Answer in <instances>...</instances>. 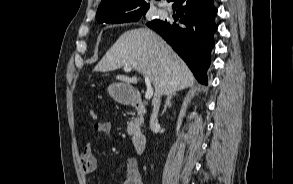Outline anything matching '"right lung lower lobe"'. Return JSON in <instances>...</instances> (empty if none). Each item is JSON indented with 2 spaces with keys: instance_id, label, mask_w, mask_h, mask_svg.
<instances>
[{
  "instance_id": "obj_1",
  "label": "right lung lower lobe",
  "mask_w": 293,
  "mask_h": 184,
  "mask_svg": "<svg viewBox=\"0 0 293 184\" xmlns=\"http://www.w3.org/2000/svg\"><path fill=\"white\" fill-rule=\"evenodd\" d=\"M214 0H168L176 11L178 23L153 20L148 27L159 33L187 63L197 80L207 84L206 70L211 63L217 9Z\"/></svg>"
}]
</instances>
